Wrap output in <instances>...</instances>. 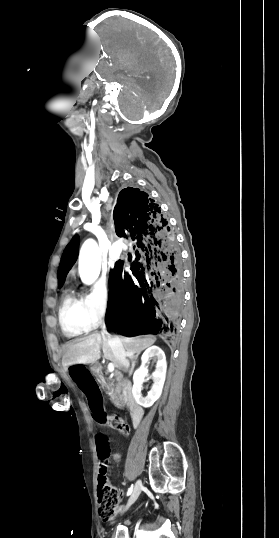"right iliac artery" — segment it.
Returning <instances> with one entry per match:
<instances>
[{
    "instance_id": "obj_1",
    "label": "right iliac artery",
    "mask_w": 279,
    "mask_h": 538,
    "mask_svg": "<svg viewBox=\"0 0 279 538\" xmlns=\"http://www.w3.org/2000/svg\"><path fill=\"white\" fill-rule=\"evenodd\" d=\"M133 485L128 489L127 496H129L132 493Z\"/></svg>"
}]
</instances>
